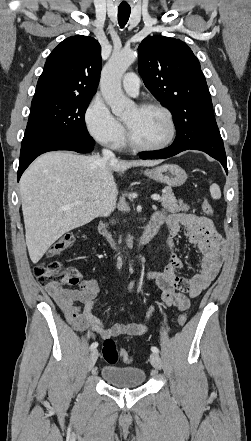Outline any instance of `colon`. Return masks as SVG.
Instances as JSON below:
<instances>
[{
  "instance_id": "1",
  "label": "colon",
  "mask_w": 251,
  "mask_h": 441,
  "mask_svg": "<svg viewBox=\"0 0 251 441\" xmlns=\"http://www.w3.org/2000/svg\"><path fill=\"white\" fill-rule=\"evenodd\" d=\"M202 210L208 216H212L214 213L212 205L207 200H203ZM74 240L75 237L72 233L64 234L51 246L49 255L55 256L62 253L74 243ZM34 273L38 284L42 287H63L64 285H75L80 281L76 269L64 267L58 261L40 263L36 266ZM187 319V314H180L177 319L178 325L184 326ZM102 355L109 364H115L119 357L125 363L132 361V357L127 351H119L117 349L116 343L111 337L105 338L102 346Z\"/></svg>"
}]
</instances>
